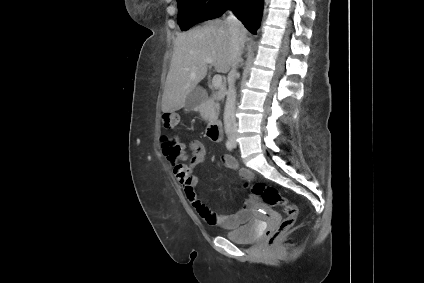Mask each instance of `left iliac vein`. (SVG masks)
<instances>
[{
	"mask_svg": "<svg viewBox=\"0 0 424 283\" xmlns=\"http://www.w3.org/2000/svg\"><path fill=\"white\" fill-rule=\"evenodd\" d=\"M234 146H236V142H234Z\"/></svg>",
	"mask_w": 424,
	"mask_h": 283,
	"instance_id": "obj_1",
	"label": "left iliac vein"
}]
</instances>
